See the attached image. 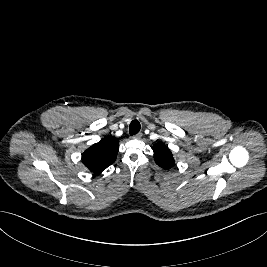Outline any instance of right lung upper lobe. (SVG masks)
Wrapping results in <instances>:
<instances>
[{
  "label": "right lung upper lobe",
  "mask_w": 267,
  "mask_h": 267,
  "mask_svg": "<svg viewBox=\"0 0 267 267\" xmlns=\"http://www.w3.org/2000/svg\"><path fill=\"white\" fill-rule=\"evenodd\" d=\"M119 139L107 136L93 144L82 154L83 164L93 173L99 174L116 160Z\"/></svg>",
  "instance_id": "right-lung-upper-lobe-1"
}]
</instances>
